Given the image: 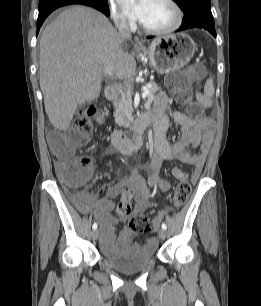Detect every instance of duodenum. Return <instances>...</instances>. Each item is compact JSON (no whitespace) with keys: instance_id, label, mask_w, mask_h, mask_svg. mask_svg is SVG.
<instances>
[{"instance_id":"obj_1","label":"duodenum","mask_w":261,"mask_h":306,"mask_svg":"<svg viewBox=\"0 0 261 306\" xmlns=\"http://www.w3.org/2000/svg\"><path fill=\"white\" fill-rule=\"evenodd\" d=\"M117 89L110 87L105 92V97L109 101H113L117 98ZM154 118L151 114H142L138 116L134 122L133 126L135 129V135L133 139L127 138L121 131L115 130L112 134L113 145L122 153L128 154L132 151L138 149L142 143V134L145 129L153 122Z\"/></svg>"}]
</instances>
